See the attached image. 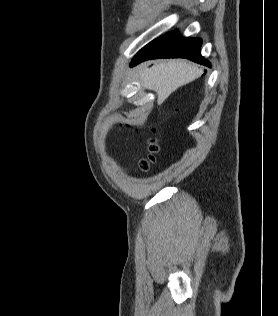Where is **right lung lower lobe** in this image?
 I'll return each mask as SVG.
<instances>
[{"label":"right lung lower lobe","mask_w":278,"mask_h":316,"mask_svg":"<svg viewBox=\"0 0 278 316\" xmlns=\"http://www.w3.org/2000/svg\"><path fill=\"white\" fill-rule=\"evenodd\" d=\"M202 40L200 38H185L178 30L169 32L142 48L131 61L130 66L155 58H187L210 67L200 53Z\"/></svg>","instance_id":"right-lung-lower-lobe-1"}]
</instances>
